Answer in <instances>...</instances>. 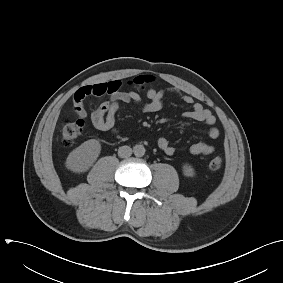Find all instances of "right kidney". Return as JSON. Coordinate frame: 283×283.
I'll list each match as a JSON object with an SVG mask.
<instances>
[{
	"label": "right kidney",
	"mask_w": 283,
	"mask_h": 283,
	"mask_svg": "<svg viewBox=\"0 0 283 283\" xmlns=\"http://www.w3.org/2000/svg\"><path fill=\"white\" fill-rule=\"evenodd\" d=\"M100 151L101 145L98 140L85 141L68 155L66 167L73 172H85L96 161Z\"/></svg>",
	"instance_id": "obj_1"
}]
</instances>
